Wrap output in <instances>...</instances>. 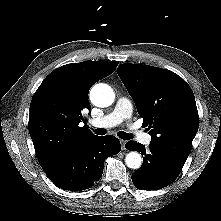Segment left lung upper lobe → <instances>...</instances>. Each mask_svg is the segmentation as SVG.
I'll return each mask as SVG.
<instances>
[{
    "mask_svg": "<svg viewBox=\"0 0 221 221\" xmlns=\"http://www.w3.org/2000/svg\"><path fill=\"white\" fill-rule=\"evenodd\" d=\"M117 73L150 130L151 144L186 161L198 131L194 94L177 74L158 67L121 64Z\"/></svg>",
    "mask_w": 221,
    "mask_h": 221,
    "instance_id": "5c2ea615",
    "label": "left lung upper lobe"
}]
</instances>
